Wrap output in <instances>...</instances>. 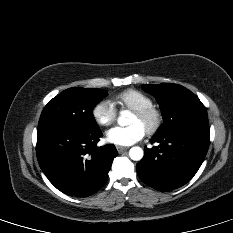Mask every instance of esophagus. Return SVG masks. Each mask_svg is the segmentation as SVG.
Masks as SVG:
<instances>
[{
	"instance_id": "1",
	"label": "esophagus",
	"mask_w": 233,
	"mask_h": 233,
	"mask_svg": "<svg viewBox=\"0 0 233 233\" xmlns=\"http://www.w3.org/2000/svg\"><path fill=\"white\" fill-rule=\"evenodd\" d=\"M116 149H117L118 153H122V152L126 151L128 149V147L116 146Z\"/></svg>"
}]
</instances>
